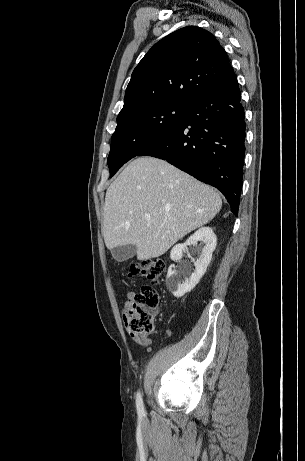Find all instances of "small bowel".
<instances>
[{"label": "small bowel", "mask_w": 305, "mask_h": 461, "mask_svg": "<svg viewBox=\"0 0 305 461\" xmlns=\"http://www.w3.org/2000/svg\"><path fill=\"white\" fill-rule=\"evenodd\" d=\"M135 295L136 294L134 291H129L126 293V299H125V302L122 308V319L125 324L128 323L127 311ZM130 335L132 339L140 345H148L150 343V339L146 335L133 334V333H130Z\"/></svg>", "instance_id": "1"}]
</instances>
